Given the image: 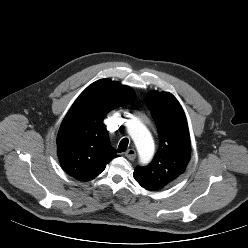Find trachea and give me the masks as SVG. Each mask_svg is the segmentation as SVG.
<instances>
[{"instance_id":"trachea-1","label":"trachea","mask_w":248,"mask_h":248,"mask_svg":"<svg viewBox=\"0 0 248 248\" xmlns=\"http://www.w3.org/2000/svg\"><path fill=\"white\" fill-rule=\"evenodd\" d=\"M128 144H129L128 138H123L119 143L118 152L119 153L125 152L128 147Z\"/></svg>"}]
</instances>
